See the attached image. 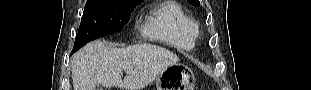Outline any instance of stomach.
Returning <instances> with one entry per match:
<instances>
[{
	"mask_svg": "<svg viewBox=\"0 0 311 90\" xmlns=\"http://www.w3.org/2000/svg\"><path fill=\"white\" fill-rule=\"evenodd\" d=\"M195 76L190 68L176 63L164 70L156 80V90H194Z\"/></svg>",
	"mask_w": 311,
	"mask_h": 90,
	"instance_id": "1",
	"label": "stomach"
}]
</instances>
